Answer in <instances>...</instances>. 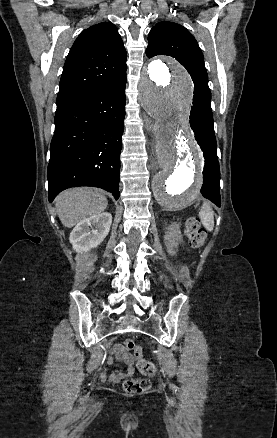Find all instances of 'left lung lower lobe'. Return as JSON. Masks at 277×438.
Masks as SVG:
<instances>
[{
    "instance_id": "obj_1",
    "label": "left lung lower lobe",
    "mask_w": 277,
    "mask_h": 438,
    "mask_svg": "<svg viewBox=\"0 0 277 438\" xmlns=\"http://www.w3.org/2000/svg\"><path fill=\"white\" fill-rule=\"evenodd\" d=\"M190 125L205 158L201 193L205 198L220 206V169L212 110H201L193 106L190 114Z\"/></svg>"
}]
</instances>
